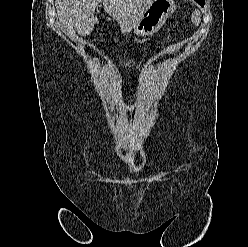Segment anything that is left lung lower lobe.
I'll return each instance as SVG.
<instances>
[{"label": "left lung lower lobe", "instance_id": "left-lung-lower-lobe-1", "mask_svg": "<svg viewBox=\"0 0 248 247\" xmlns=\"http://www.w3.org/2000/svg\"><path fill=\"white\" fill-rule=\"evenodd\" d=\"M198 4H200L202 7L204 6V0H195Z\"/></svg>", "mask_w": 248, "mask_h": 247}]
</instances>
